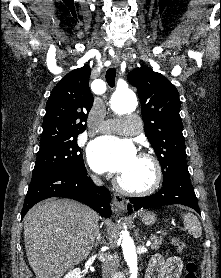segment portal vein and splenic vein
Returning a JSON list of instances; mask_svg holds the SVG:
<instances>
[{"label":"portal vein and splenic vein","mask_w":221,"mask_h":278,"mask_svg":"<svg viewBox=\"0 0 221 278\" xmlns=\"http://www.w3.org/2000/svg\"><path fill=\"white\" fill-rule=\"evenodd\" d=\"M150 245V242H148L147 244H146V246H149Z\"/></svg>","instance_id":"18ae733b"}]
</instances>
